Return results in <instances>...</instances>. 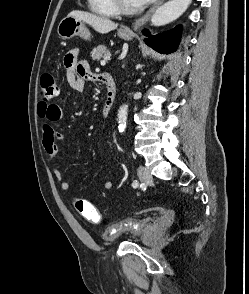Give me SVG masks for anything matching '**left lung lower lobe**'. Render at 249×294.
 I'll list each match as a JSON object with an SVG mask.
<instances>
[{
  "label": "left lung lower lobe",
  "mask_w": 249,
  "mask_h": 294,
  "mask_svg": "<svg viewBox=\"0 0 249 294\" xmlns=\"http://www.w3.org/2000/svg\"><path fill=\"white\" fill-rule=\"evenodd\" d=\"M144 34L149 38L145 39L147 45L154 48L160 53H171L176 50L180 38V27L175 28L170 32H165L159 35L151 36L148 31Z\"/></svg>",
  "instance_id": "left-lung-lower-lobe-1"
}]
</instances>
